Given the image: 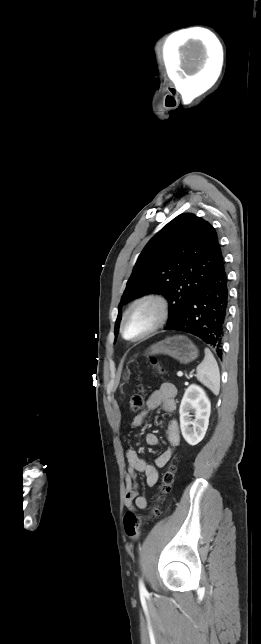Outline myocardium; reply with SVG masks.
Masks as SVG:
<instances>
[{
	"mask_svg": "<svg viewBox=\"0 0 261 644\" xmlns=\"http://www.w3.org/2000/svg\"><path fill=\"white\" fill-rule=\"evenodd\" d=\"M144 303L151 304L156 308V311H157L156 319H155L154 323L151 325V327L149 329H147L145 332H143L141 335H139V336H137L135 338H129V337L126 336V332H125L128 317H129L130 313L132 312V310L135 307H137L138 305L144 304ZM169 315H170V305H169V301L166 298V296H164L163 294H161L159 292H147V293H144V294L136 297L128 305V307L126 308V310H125V312H124V314L122 316V320H121V324H120L121 335L126 341H129V342L142 341V340L148 338L149 336H151L153 333H155L161 327H163L165 325V323L167 322V320L169 318Z\"/></svg>",
	"mask_w": 261,
	"mask_h": 644,
	"instance_id": "1",
	"label": "myocardium"
}]
</instances>
